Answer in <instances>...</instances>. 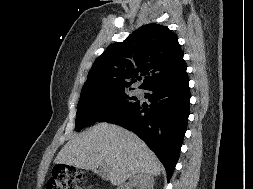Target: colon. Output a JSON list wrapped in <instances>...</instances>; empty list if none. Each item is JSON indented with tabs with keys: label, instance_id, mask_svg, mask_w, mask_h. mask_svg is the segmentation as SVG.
Segmentation results:
<instances>
[{
	"label": "colon",
	"instance_id": "1",
	"mask_svg": "<svg viewBox=\"0 0 253 189\" xmlns=\"http://www.w3.org/2000/svg\"><path fill=\"white\" fill-rule=\"evenodd\" d=\"M84 175L75 168L59 165L54 168L46 189H82Z\"/></svg>",
	"mask_w": 253,
	"mask_h": 189
}]
</instances>
